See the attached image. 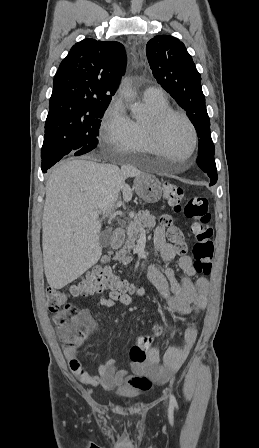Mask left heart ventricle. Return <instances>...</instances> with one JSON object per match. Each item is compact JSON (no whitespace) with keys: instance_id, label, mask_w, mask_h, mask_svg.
<instances>
[{"instance_id":"obj_1","label":"left heart ventricle","mask_w":259,"mask_h":448,"mask_svg":"<svg viewBox=\"0 0 259 448\" xmlns=\"http://www.w3.org/2000/svg\"><path fill=\"white\" fill-rule=\"evenodd\" d=\"M162 142L165 149L158 150L152 147L149 154L163 158L167 162H187L190 160L192 136L183 120L174 118L167 122L162 132Z\"/></svg>"}]
</instances>
